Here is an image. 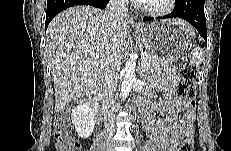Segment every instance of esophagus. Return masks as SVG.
Here are the masks:
<instances>
[{
  "label": "esophagus",
  "instance_id": "34e87169",
  "mask_svg": "<svg viewBox=\"0 0 231 151\" xmlns=\"http://www.w3.org/2000/svg\"><path fill=\"white\" fill-rule=\"evenodd\" d=\"M127 23L132 28H138V26L136 24V19L133 15L128 16Z\"/></svg>",
  "mask_w": 231,
  "mask_h": 151
}]
</instances>
